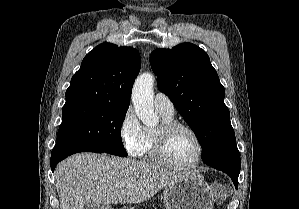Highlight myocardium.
<instances>
[{
    "instance_id": "myocardium-1",
    "label": "myocardium",
    "mask_w": 299,
    "mask_h": 209,
    "mask_svg": "<svg viewBox=\"0 0 299 209\" xmlns=\"http://www.w3.org/2000/svg\"><path fill=\"white\" fill-rule=\"evenodd\" d=\"M186 131L188 132L196 141L198 146V155L196 160L187 165L177 164L173 162L167 154V146L170 139V136L177 131ZM153 158L160 164L178 170H191L199 166L202 162L204 156V145L197 134V132L192 129L190 126L176 122H163L157 131L152 132V150H151Z\"/></svg>"
}]
</instances>
